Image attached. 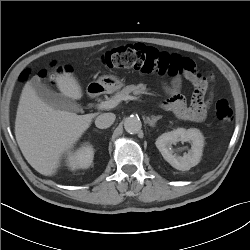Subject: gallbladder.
I'll return each instance as SVG.
<instances>
[{
    "mask_svg": "<svg viewBox=\"0 0 250 250\" xmlns=\"http://www.w3.org/2000/svg\"><path fill=\"white\" fill-rule=\"evenodd\" d=\"M31 85L36 90L38 96L49 106L58 110L79 111L80 106L72 99L52 91L47 85L42 83L37 76L32 78Z\"/></svg>",
    "mask_w": 250,
    "mask_h": 250,
    "instance_id": "gallbladder-1",
    "label": "gallbladder"
}]
</instances>
